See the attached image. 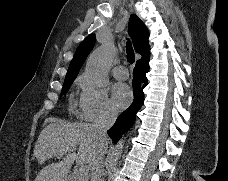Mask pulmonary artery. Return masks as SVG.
<instances>
[{
	"instance_id": "obj_1",
	"label": "pulmonary artery",
	"mask_w": 228,
	"mask_h": 181,
	"mask_svg": "<svg viewBox=\"0 0 228 181\" xmlns=\"http://www.w3.org/2000/svg\"><path fill=\"white\" fill-rule=\"evenodd\" d=\"M117 79H129V74H126V68L124 67H118L114 71Z\"/></svg>"
}]
</instances>
